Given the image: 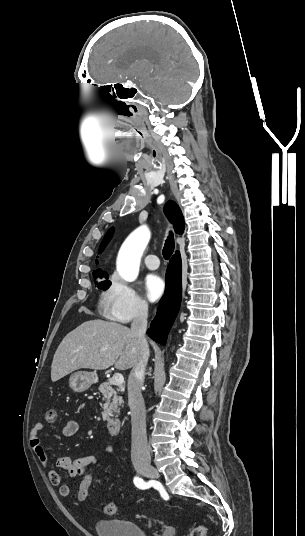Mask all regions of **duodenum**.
Returning <instances> with one entry per match:
<instances>
[{
	"instance_id": "410a0bca",
	"label": "duodenum",
	"mask_w": 305,
	"mask_h": 536,
	"mask_svg": "<svg viewBox=\"0 0 305 536\" xmlns=\"http://www.w3.org/2000/svg\"><path fill=\"white\" fill-rule=\"evenodd\" d=\"M105 430L108 434L116 435L121 431V423L118 419L112 418L105 424Z\"/></svg>"
}]
</instances>
